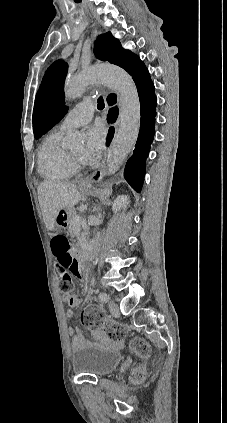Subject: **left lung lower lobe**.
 <instances>
[{
    "instance_id": "obj_1",
    "label": "left lung lower lobe",
    "mask_w": 227,
    "mask_h": 423,
    "mask_svg": "<svg viewBox=\"0 0 227 423\" xmlns=\"http://www.w3.org/2000/svg\"><path fill=\"white\" fill-rule=\"evenodd\" d=\"M136 86L141 106V123L135 149L125 164L124 178L135 191L140 192L145 174L146 158L155 133L156 96L149 73ZM117 116L118 109L111 108L108 113V122L114 123Z\"/></svg>"
}]
</instances>
